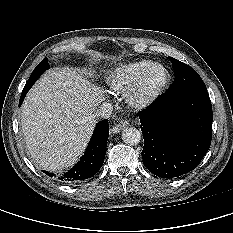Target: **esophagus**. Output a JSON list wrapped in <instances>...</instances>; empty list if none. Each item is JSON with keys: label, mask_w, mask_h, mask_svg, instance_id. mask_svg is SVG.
I'll list each match as a JSON object with an SVG mask.
<instances>
[{"label": "esophagus", "mask_w": 233, "mask_h": 233, "mask_svg": "<svg viewBox=\"0 0 233 233\" xmlns=\"http://www.w3.org/2000/svg\"><path fill=\"white\" fill-rule=\"evenodd\" d=\"M130 124L127 120H121L119 123H117L113 128L112 132L113 133H118L121 129L128 127Z\"/></svg>", "instance_id": "obj_1"}]
</instances>
